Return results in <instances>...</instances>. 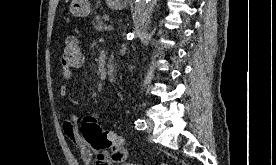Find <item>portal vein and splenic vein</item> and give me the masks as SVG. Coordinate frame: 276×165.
<instances>
[{
  "label": "portal vein and splenic vein",
  "mask_w": 276,
  "mask_h": 165,
  "mask_svg": "<svg viewBox=\"0 0 276 165\" xmlns=\"http://www.w3.org/2000/svg\"><path fill=\"white\" fill-rule=\"evenodd\" d=\"M105 30L111 31V30H113V26L112 25L105 26Z\"/></svg>",
  "instance_id": "18ae733b"
}]
</instances>
